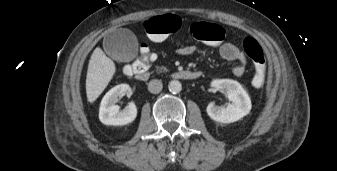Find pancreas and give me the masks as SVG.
<instances>
[{
    "instance_id": "1",
    "label": "pancreas",
    "mask_w": 337,
    "mask_h": 171,
    "mask_svg": "<svg viewBox=\"0 0 337 171\" xmlns=\"http://www.w3.org/2000/svg\"><path fill=\"white\" fill-rule=\"evenodd\" d=\"M157 69H158L159 72H167L168 71V69L166 67H164V66L157 67Z\"/></svg>"
}]
</instances>
